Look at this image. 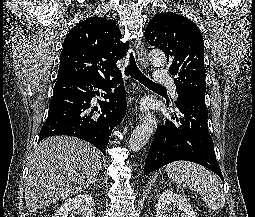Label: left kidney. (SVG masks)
Instances as JSON below:
<instances>
[{
  "label": "left kidney",
  "instance_id": "left-kidney-1",
  "mask_svg": "<svg viewBox=\"0 0 255 217\" xmlns=\"http://www.w3.org/2000/svg\"><path fill=\"white\" fill-rule=\"evenodd\" d=\"M177 208L181 212V217H196L192 206L188 200L181 194H177L172 190H165L160 195L156 205V217H177L172 212ZM172 212V215H170Z\"/></svg>",
  "mask_w": 255,
  "mask_h": 217
}]
</instances>
